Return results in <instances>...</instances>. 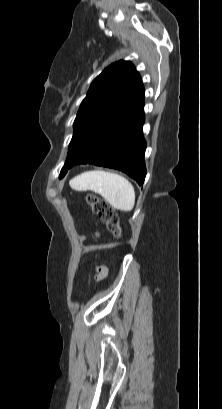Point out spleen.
I'll return each instance as SVG.
<instances>
[{
    "label": "spleen",
    "instance_id": "spleen-1",
    "mask_svg": "<svg viewBox=\"0 0 222 409\" xmlns=\"http://www.w3.org/2000/svg\"><path fill=\"white\" fill-rule=\"evenodd\" d=\"M76 191H92L101 195L113 208L129 212L135 205L133 185L123 176L102 170L84 172L70 180Z\"/></svg>",
    "mask_w": 222,
    "mask_h": 409
}]
</instances>
